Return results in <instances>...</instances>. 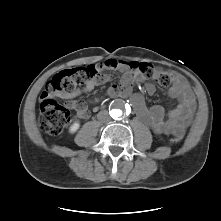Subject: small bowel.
I'll use <instances>...</instances> for the list:
<instances>
[{
  "label": "small bowel",
  "mask_w": 221,
  "mask_h": 221,
  "mask_svg": "<svg viewBox=\"0 0 221 221\" xmlns=\"http://www.w3.org/2000/svg\"><path fill=\"white\" fill-rule=\"evenodd\" d=\"M97 77L86 82L82 87L75 88L70 92L59 95L61 98L68 100L66 106L73 109L82 118H88L90 111L84 102L77 101L76 98L82 94L89 93L94 88L111 80L106 71L117 70L123 73V77L119 85H114L110 89H118L119 93L114 96L130 97L131 104L134 107L138 117L151 129L156 135L169 134L179 132L181 136L185 133L186 128L190 125L195 109V97L187 83L177 78L176 82L168 89L167 93L170 97L178 101L176 107L165 112L160 105L148 107L145 99L138 93H133L132 88L135 81L139 78L138 74L130 71L129 63L124 60L108 59L105 62L95 66ZM153 84L146 85V91L149 94L155 92Z\"/></svg>",
  "instance_id": "1"
}]
</instances>
